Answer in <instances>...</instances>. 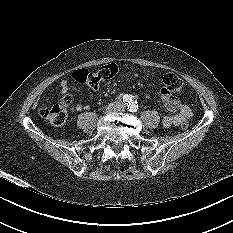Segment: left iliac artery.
<instances>
[{
    "label": "left iliac artery",
    "instance_id": "left-iliac-artery-1",
    "mask_svg": "<svg viewBox=\"0 0 233 233\" xmlns=\"http://www.w3.org/2000/svg\"><path fill=\"white\" fill-rule=\"evenodd\" d=\"M128 109H129L130 112H133V113L136 112L137 109H138L137 102H132L131 101V103H129V105H128Z\"/></svg>",
    "mask_w": 233,
    "mask_h": 233
}]
</instances>
